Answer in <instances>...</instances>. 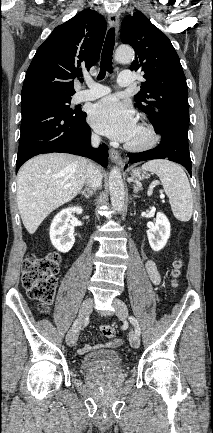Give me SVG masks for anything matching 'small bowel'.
Segmentation results:
<instances>
[{
  "label": "small bowel",
  "mask_w": 213,
  "mask_h": 433,
  "mask_svg": "<svg viewBox=\"0 0 213 433\" xmlns=\"http://www.w3.org/2000/svg\"><path fill=\"white\" fill-rule=\"evenodd\" d=\"M145 266H146V271H147V274H148L150 280L155 285H158L161 281V275H160V272L158 270V267H157L155 261L154 260H148L146 262ZM122 342H123L122 339L116 338V339H113L112 341L106 343L105 347L115 348V347L120 346L122 344ZM93 348H94L93 346H91L89 344H85L84 346L78 348V353L79 354H85V353L91 351Z\"/></svg>",
  "instance_id": "small-bowel-1"
}]
</instances>
